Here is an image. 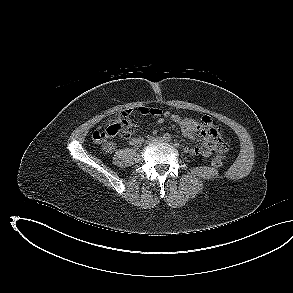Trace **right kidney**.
Listing matches in <instances>:
<instances>
[{
	"label": "right kidney",
	"mask_w": 293,
	"mask_h": 293,
	"mask_svg": "<svg viewBox=\"0 0 293 293\" xmlns=\"http://www.w3.org/2000/svg\"><path fill=\"white\" fill-rule=\"evenodd\" d=\"M103 150L105 151V152H109V151H111L112 150V146H111V144L109 143V144H106L104 147H103Z\"/></svg>",
	"instance_id": "right-kidney-1"
}]
</instances>
